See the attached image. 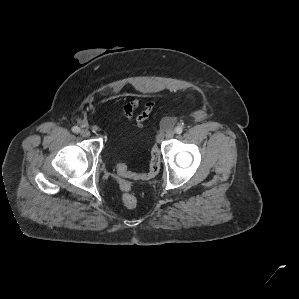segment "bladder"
<instances>
[{
	"label": "bladder",
	"instance_id": "31cf9c89",
	"mask_svg": "<svg viewBox=\"0 0 299 299\" xmlns=\"http://www.w3.org/2000/svg\"><path fill=\"white\" fill-rule=\"evenodd\" d=\"M121 132L117 131V134H120ZM129 143L134 144L135 141L134 140H130Z\"/></svg>",
	"mask_w": 299,
	"mask_h": 299
}]
</instances>
